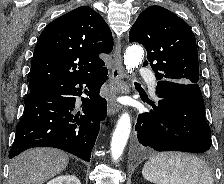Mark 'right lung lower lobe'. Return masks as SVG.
Instances as JSON below:
<instances>
[{
    "mask_svg": "<svg viewBox=\"0 0 224 184\" xmlns=\"http://www.w3.org/2000/svg\"><path fill=\"white\" fill-rule=\"evenodd\" d=\"M108 70L31 89L25 98L24 116L16 127L9 158L32 147H55L90 161L99 132V122L107 115V102L99 95ZM83 84L88 90L76 113V96Z\"/></svg>",
    "mask_w": 224,
    "mask_h": 184,
    "instance_id": "obj_1",
    "label": "right lung lower lobe"
}]
</instances>
